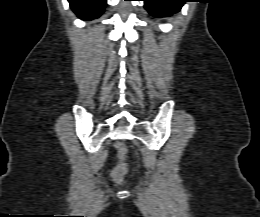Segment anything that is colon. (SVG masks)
I'll return each mask as SVG.
<instances>
[{"instance_id":"5ec220e1","label":"colon","mask_w":260,"mask_h":217,"mask_svg":"<svg viewBox=\"0 0 260 217\" xmlns=\"http://www.w3.org/2000/svg\"><path fill=\"white\" fill-rule=\"evenodd\" d=\"M115 148L117 151V154L120 158L119 163L117 164V166L113 169L112 173H111V177L113 179V181L117 182V183H121L128 171V166L127 163L125 161V157L127 155V146L122 143V142H116L115 143Z\"/></svg>"}]
</instances>
